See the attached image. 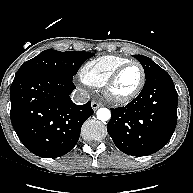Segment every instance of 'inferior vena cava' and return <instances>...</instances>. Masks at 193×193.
<instances>
[{
  "instance_id": "602c4592",
  "label": "inferior vena cava",
  "mask_w": 193,
  "mask_h": 193,
  "mask_svg": "<svg viewBox=\"0 0 193 193\" xmlns=\"http://www.w3.org/2000/svg\"><path fill=\"white\" fill-rule=\"evenodd\" d=\"M72 101L76 104H84L89 101V94L84 89L78 88L72 93Z\"/></svg>"
}]
</instances>
